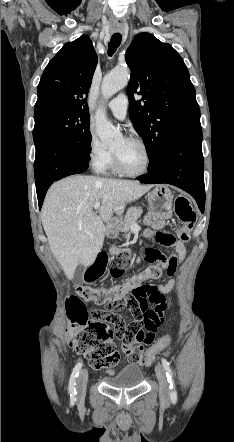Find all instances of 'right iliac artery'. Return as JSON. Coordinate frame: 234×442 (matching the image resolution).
<instances>
[{
	"mask_svg": "<svg viewBox=\"0 0 234 442\" xmlns=\"http://www.w3.org/2000/svg\"><path fill=\"white\" fill-rule=\"evenodd\" d=\"M81 367H82V363L81 362L76 364V366L74 367V369L72 371L70 380H69L68 392L70 394V398H71L72 402H74V400H75V395H76V388H75V386H76V379H77V377L79 375Z\"/></svg>",
	"mask_w": 234,
	"mask_h": 442,
	"instance_id": "1",
	"label": "right iliac artery"
}]
</instances>
